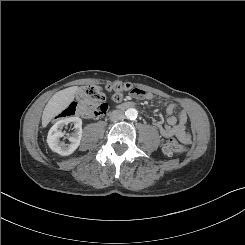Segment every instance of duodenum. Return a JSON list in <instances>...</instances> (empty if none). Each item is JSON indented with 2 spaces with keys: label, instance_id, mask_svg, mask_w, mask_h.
Here are the masks:
<instances>
[{
  "label": "duodenum",
  "instance_id": "410a0bca",
  "mask_svg": "<svg viewBox=\"0 0 245 245\" xmlns=\"http://www.w3.org/2000/svg\"><path fill=\"white\" fill-rule=\"evenodd\" d=\"M122 108H131L134 107V104L131 102H127L121 105Z\"/></svg>",
  "mask_w": 245,
  "mask_h": 245
}]
</instances>
